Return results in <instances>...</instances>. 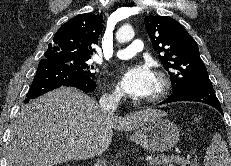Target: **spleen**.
Instances as JSON below:
<instances>
[{"instance_id": "obj_1", "label": "spleen", "mask_w": 231, "mask_h": 166, "mask_svg": "<svg viewBox=\"0 0 231 166\" xmlns=\"http://www.w3.org/2000/svg\"><path fill=\"white\" fill-rule=\"evenodd\" d=\"M205 166H231L227 144L219 133H215L204 156Z\"/></svg>"}]
</instances>
